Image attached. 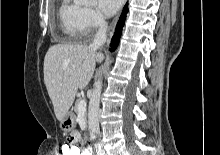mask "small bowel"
<instances>
[{"instance_id": "1", "label": "small bowel", "mask_w": 220, "mask_h": 155, "mask_svg": "<svg viewBox=\"0 0 220 155\" xmlns=\"http://www.w3.org/2000/svg\"><path fill=\"white\" fill-rule=\"evenodd\" d=\"M67 134H68L67 144L63 146H70L68 144H81V145L87 144L86 140H82V136L79 130H68ZM61 153H62V148H61ZM90 153H91L90 149H85L81 151V155H91Z\"/></svg>"}]
</instances>
